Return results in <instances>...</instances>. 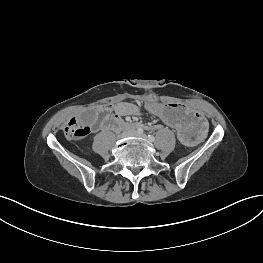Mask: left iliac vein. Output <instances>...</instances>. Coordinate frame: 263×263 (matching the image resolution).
<instances>
[{
    "mask_svg": "<svg viewBox=\"0 0 263 263\" xmlns=\"http://www.w3.org/2000/svg\"><path fill=\"white\" fill-rule=\"evenodd\" d=\"M138 136L141 137V138H143V139H146V138H147L146 135L143 134V133H142V134H139Z\"/></svg>",
    "mask_w": 263,
    "mask_h": 263,
    "instance_id": "left-iliac-vein-1",
    "label": "left iliac vein"
}]
</instances>
